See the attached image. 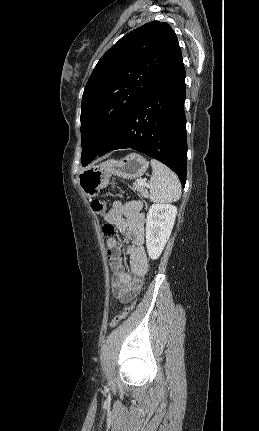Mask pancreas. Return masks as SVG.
Here are the masks:
<instances>
[{"mask_svg": "<svg viewBox=\"0 0 259 431\" xmlns=\"http://www.w3.org/2000/svg\"><path fill=\"white\" fill-rule=\"evenodd\" d=\"M134 190L138 191L140 195L144 198H150L148 190L146 189V185L140 184L138 181L133 183Z\"/></svg>", "mask_w": 259, "mask_h": 431, "instance_id": "pancreas-1", "label": "pancreas"}]
</instances>
